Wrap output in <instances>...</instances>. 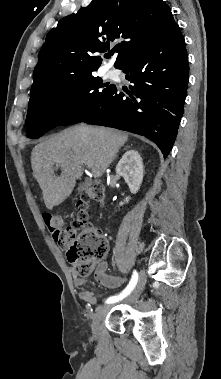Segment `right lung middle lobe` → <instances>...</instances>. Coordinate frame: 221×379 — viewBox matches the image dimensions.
I'll use <instances>...</instances> for the list:
<instances>
[{"instance_id":"right-lung-middle-lobe-1","label":"right lung middle lobe","mask_w":221,"mask_h":379,"mask_svg":"<svg viewBox=\"0 0 221 379\" xmlns=\"http://www.w3.org/2000/svg\"><path fill=\"white\" fill-rule=\"evenodd\" d=\"M93 73L54 82L30 99L26 118V136L39 138L56 126L70 125L87 115L111 91Z\"/></svg>"}]
</instances>
